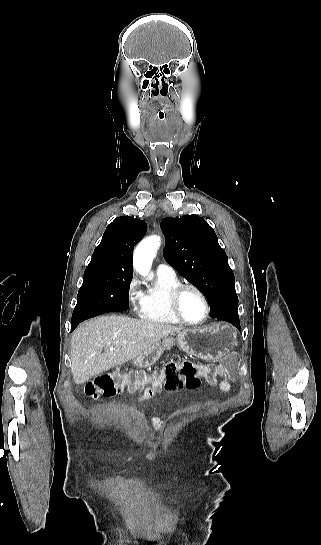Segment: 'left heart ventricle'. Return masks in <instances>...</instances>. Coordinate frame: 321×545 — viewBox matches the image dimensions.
Masks as SVG:
<instances>
[{
    "mask_svg": "<svg viewBox=\"0 0 321 545\" xmlns=\"http://www.w3.org/2000/svg\"><path fill=\"white\" fill-rule=\"evenodd\" d=\"M181 316L188 322H198L205 314V308L200 296L193 290H185L178 302Z\"/></svg>",
    "mask_w": 321,
    "mask_h": 545,
    "instance_id": "b2bd125f",
    "label": "left heart ventricle"
}]
</instances>
